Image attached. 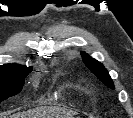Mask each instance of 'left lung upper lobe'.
<instances>
[{
  "label": "left lung upper lobe",
  "instance_id": "1",
  "mask_svg": "<svg viewBox=\"0 0 133 118\" xmlns=\"http://www.w3.org/2000/svg\"><path fill=\"white\" fill-rule=\"evenodd\" d=\"M81 56L85 65L97 76V78L103 82L106 86L114 89V84L108 74L106 68L97 60L90 57L85 52H81Z\"/></svg>",
  "mask_w": 133,
  "mask_h": 118
}]
</instances>
